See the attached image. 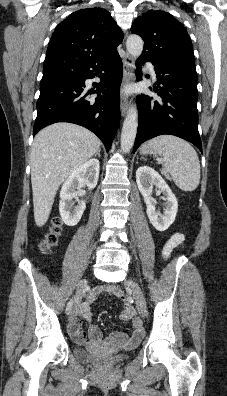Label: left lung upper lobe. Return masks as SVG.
Listing matches in <instances>:
<instances>
[{"label":"left lung upper lobe","mask_w":227,"mask_h":396,"mask_svg":"<svg viewBox=\"0 0 227 396\" xmlns=\"http://www.w3.org/2000/svg\"><path fill=\"white\" fill-rule=\"evenodd\" d=\"M131 32L144 40L141 58L196 73L191 39L171 14L149 10L136 18Z\"/></svg>","instance_id":"1"}]
</instances>
